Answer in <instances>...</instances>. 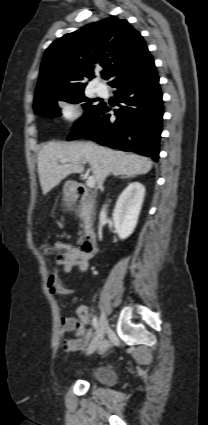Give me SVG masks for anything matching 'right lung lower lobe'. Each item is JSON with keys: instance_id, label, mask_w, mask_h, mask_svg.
Instances as JSON below:
<instances>
[{"instance_id": "obj_1", "label": "right lung lower lobe", "mask_w": 208, "mask_h": 425, "mask_svg": "<svg viewBox=\"0 0 208 425\" xmlns=\"http://www.w3.org/2000/svg\"><path fill=\"white\" fill-rule=\"evenodd\" d=\"M124 106L115 111L104 103L79 120L69 140L84 137L103 146L132 151L158 161L163 101L154 60L149 54L118 73L109 82Z\"/></svg>"}]
</instances>
